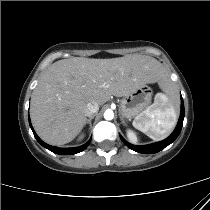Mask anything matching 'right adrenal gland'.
Returning <instances> with one entry per match:
<instances>
[{"label":"right adrenal gland","mask_w":210,"mask_h":210,"mask_svg":"<svg viewBox=\"0 0 210 210\" xmlns=\"http://www.w3.org/2000/svg\"><path fill=\"white\" fill-rule=\"evenodd\" d=\"M93 118H94V115L90 116L89 119L86 121V124H89V127H90V128H91V126H92L91 121H92Z\"/></svg>","instance_id":"2a0ac1e0"}]
</instances>
